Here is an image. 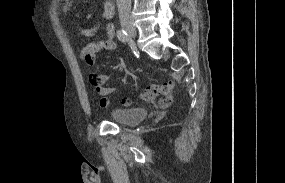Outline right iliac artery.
I'll use <instances>...</instances> for the list:
<instances>
[{"mask_svg":"<svg viewBox=\"0 0 285 183\" xmlns=\"http://www.w3.org/2000/svg\"><path fill=\"white\" fill-rule=\"evenodd\" d=\"M117 37L121 42H127L128 41V34L123 29H119L117 31Z\"/></svg>","mask_w":285,"mask_h":183,"instance_id":"82829eb1","label":"right iliac artery"}]
</instances>
